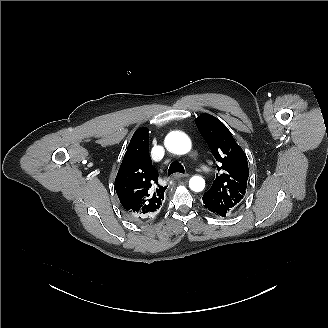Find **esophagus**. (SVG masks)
<instances>
[{"label": "esophagus", "instance_id": "obj_1", "mask_svg": "<svg viewBox=\"0 0 328 328\" xmlns=\"http://www.w3.org/2000/svg\"><path fill=\"white\" fill-rule=\"evenodd\" d=\"M188 174H181V173H175L172 175V179H175V178H182V177H187Z\"/></svg>", "mask_w": 328, "mask_h": 328}]
</instances>
